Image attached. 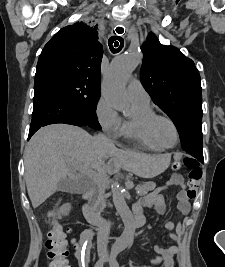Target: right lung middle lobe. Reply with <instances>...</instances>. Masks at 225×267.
<instances>
[{
	"label": "right lung middle lobe",
	"instance_id": "obj_1",
	"mask_svg": "<svg viewBox=\"0 0 225 267\" xmlns=\"http://www.w3.org/2000/svg\"><path fill=\"white\" fill-rule=\"evenodd\" d=\"M44 80L53 84L66 96L84 116L89 127L101 129L95 112L100 98V86L80 78L57 74L45 76Z\"/></svg>",
	"mask_w": 225,
	"mask_h": 267
}]
</instances>
